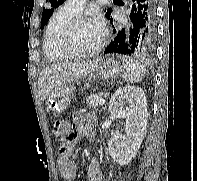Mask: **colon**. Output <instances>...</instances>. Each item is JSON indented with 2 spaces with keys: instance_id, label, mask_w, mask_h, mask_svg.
<instances>
[{
  "instance_id": "obj_1",
  "label": "colon",
  "mask_w": 197,
  "mask_h": 181,
  "mask_svg": "<svg viewBox=\"0 0 197 181\" xmlns=\"http://www.w3.org/2000/svg\"><path fill=\"white\" fill-rule=\"evenodd\" d=\"M62 130H63V122L60 120H56L51 124V131L56 135V136H61L62 135Z\"/></svg>"
}]
</instances>
